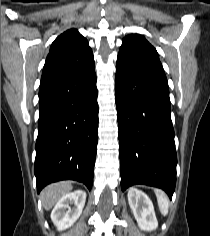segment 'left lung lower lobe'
<instances>
[{"label": "left lung lower lobe", "mask_w": 210, "mask_h": 236, "mask_svg": "<svg viewBox=\"0 0 210 236\" xmlns=\"http://www.w3.org/2000/svg\"><path fill=\"white\" fill-rule=\"evenodd\" d=\"M115 80L122 190L145 184L171 199L177 156L167 78L116 64Z\"/></svg>", "instance_id": "0a47b994"}]
</instances>
